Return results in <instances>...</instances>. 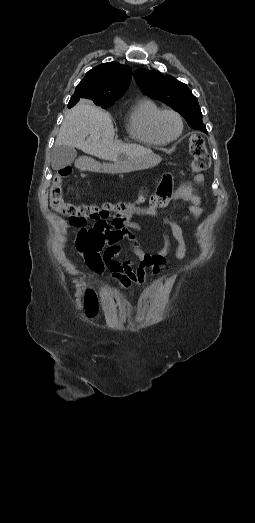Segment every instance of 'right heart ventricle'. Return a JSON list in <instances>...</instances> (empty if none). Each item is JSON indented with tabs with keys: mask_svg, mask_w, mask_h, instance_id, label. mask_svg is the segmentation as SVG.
<instances>
[{
	"mask_svg": "<svg viewBox=\"0 0 255 523\" xmlns=\"http://www.w3.org/2000/svg\"><path fill=\"white\" fill-rule=\"evenodd\" d=\"M162 109L159 103L149 97L140 99L133 107L127 120V132L135 141L149 144L162 145V141L153 129V120Z\"/></svg>",
	"mask_w": 255,
	"mask_h": 523,
	"instance_id": "obj_1",
	"label": "right heart ventricle"
}]
</instances>
